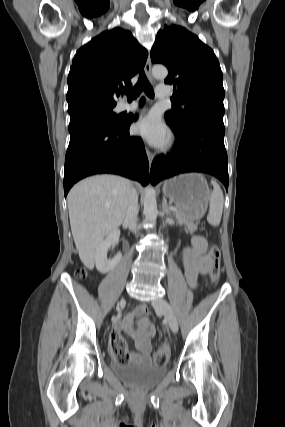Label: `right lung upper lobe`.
<instances>
[{
  "label": "right lung upper lobe",
  "mask_w": 285,
  "mask_h": 427,
  "mask_svg": "<svg viewBox=\"0 0 285 427\" xmlns=\"http://www.w3.org/2000/svg\"><path fill=\"white\" fill-rule=\"evenodd\" d=\"M148 52L122 28L101 33L81 47L68 76V112L89 106L116 105L123 84L146 63Z\"/></svg>",
  "instance_id": "1"
}]
</instances>
